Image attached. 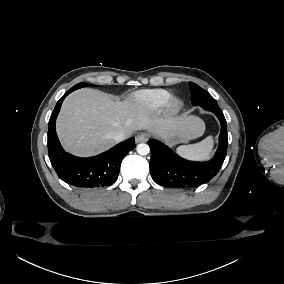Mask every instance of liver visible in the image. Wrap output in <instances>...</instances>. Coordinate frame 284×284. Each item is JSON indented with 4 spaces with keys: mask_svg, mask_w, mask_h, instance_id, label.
Returning a JSON list of instances; mask_svg holds the SVG:
<instances>
[{
    "mask_svg": "<svg viewBox=\"0 0 284 284\" xmlns=\"http://www.w3.org/2000/svg\"><path fill=\"white\" fill-rule=\"evenodd\" d=\"M184 128L188 139L203 135L205 123L194 115L151 118V110L129 97L114 101L108 94L82 88L66 97L57 118L56 130L66 151L90 156L114 146V136L125 138L133 131L147 129L166 138L171 131Z\"/></svg>",
    "mask_w": 284,
    "mask_h": 284,
    "instance_id": "liver-1",
    "label": "liver"
}]
</instances>
